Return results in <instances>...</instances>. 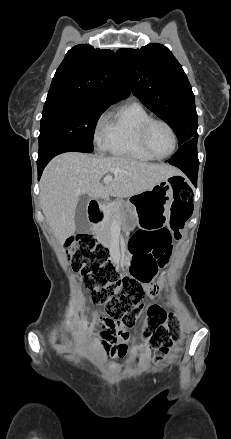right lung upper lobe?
Wrapping results in <instances>:
<instances>
[{"label":"right lung upper lobe","instance_id":"1","mask_svg":"<svg viewBox=\"0 0 231 439\" xmlns=\"http://www.w3.org/2000/svg\"><path fill=\"white\" fill-rule=\"evenodd\" d=\"M129 94L115 53L80 44L67 52L58 67L45 104L88 101L110 106Z\"/></svg>","mask_w":231,"mask_h":439}]
</instances>
